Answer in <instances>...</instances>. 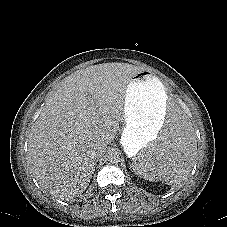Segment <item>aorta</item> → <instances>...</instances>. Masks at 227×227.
Here are the masks:
<instances>
[{"label":"aorta","instance_id":"1","mask_svg":"<svg viewBox=\"0 0 227 227\" xmlns=\"http://www.w3.org/2000/svg\"><path fill=\"white\" fill-rule=\"evenodd\" d=\"M108 159L111 163L117 164L120 162V155L118 152H111L108 156Z\"/></svg>","mask_w":227,"mask_h":227}]
</instances>
